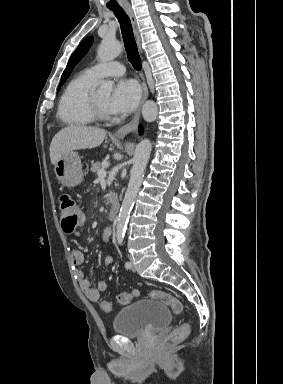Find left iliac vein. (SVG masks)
Here are the masks:
<instances>
[{"mask_svg": "<svg viewBox=\"0 0 283 384\" xmlns=\"http://www.w3.org/2000/svg\"><path fill=\"white\" fill-rule=\"evenodd\" d=\"M128 257H129V261H130V263H131V269H132L133 271H135V266H134V264H133L132 256L129 255Z\"/></svg>", "mask_w": 283, "mask_h": 384, "instance_id": "left-iliac-vein-1", "label": "left iliac vein"}]
</instances>
